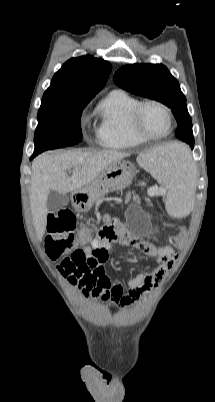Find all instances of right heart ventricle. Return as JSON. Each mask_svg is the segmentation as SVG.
Wrapping results in <instances>:
<instances>
[{
	"label": "right heart ventricle",
	"instance_id": "right-heart-ventricle-1",
	"mask_svg": "<svg viewBox=\"0 0 215 402\" xmlns=\"http://www.w3.org/2000/svg\"><path fill=\"white\" fill-rule=\"evenodd\" d=\"M139 100L125 91H111L98 105L96 138L100 146L109 149H131L147 140L132 128L131 115Z\"/></svg>",
	"mask_w": 215,
	"mask_h": 402
}]
</instances>
